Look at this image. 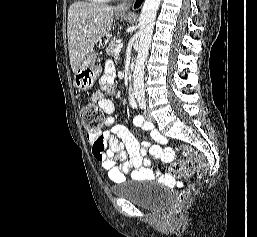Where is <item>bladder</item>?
I'll list each match as a JSON object with an SVG mask.
<instances>
[{"label": "bladder", "instance_id": "obj_1", "mask_svg": "<svg viewBox=\"0 0 257 237\" xmlns=\"http://www.w3.org/2000/svg\"><path fill=\"white\" fill-rule=\"evenodd\" d=\"M146 183L144 180L123 181L113 185L111 191L145 210H157L166 205L170 198L168 192L144 187Z\"/></svg>", "mask_w": 257, "mask_h": 237}]
</instances>
